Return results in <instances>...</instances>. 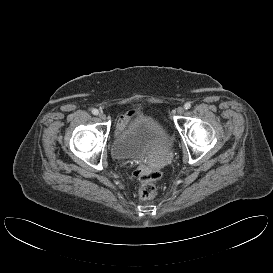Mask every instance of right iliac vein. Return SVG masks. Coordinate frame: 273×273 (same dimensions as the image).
<instances>
[{
  "instance_id": "63e3f726",
  "label": "right iliac vein",
  "mask_w": 273,
  "mask_h": 273,
  "mask_svg": "<svg viewBox=\"0 0 273 273\" xmlns=\"http://www.w3.org/2000/svg\"><path fill=\"white\" fill-rule=\"evenodd\" d=\"M99 118H100L101 120H105V119H106V115H105L104 113H100V114H99Z\"/></svg>"
}]
</instances>
